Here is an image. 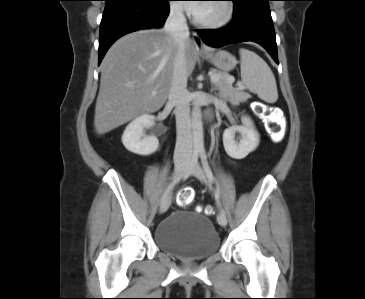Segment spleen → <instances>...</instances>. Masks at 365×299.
I'll return each mask as SVG.
<instances>
[{
  "mask_svg": "<svg viewBox=\"0 0 365 299\" xmlns=\"http://www.w3.org/2000/svg\"><path fill=\"white\" fill-rule=\"evenodd\" d=\"M241 80L245 87L268 103L278 99L275 77L267 63L255 52L241 48Z\"/></svg>",
  "mask_w": 365,
  "mask_h": 299,
  "instance_id": "spleen-1",
  "label": "spleen"
}]
</instances>
